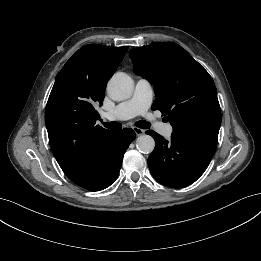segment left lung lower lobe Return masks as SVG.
Returning <instances> with one entry per match:
<instances>
[{
  "label": "left lung lower lobe",
  "instance_id": "left-lung-lower-lobe-1",
  "mask_svg": "<svg viewBox=\"0 0 261 261\" xmlns=\"http://www.w3.org/2000/svg\"><path fill=\"white\" fill-rule=\"evenodd\" d=\"M155 148L148 158L152 176L160 183L180 188L195 182L208 167L217 143L191 140L171 134L166 141L154 131Z\"/></svg>",
  "mask_w": 261,
  "mask_h": 261
}]
</instances>
